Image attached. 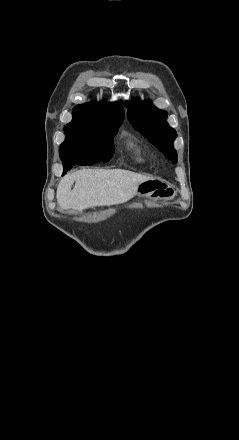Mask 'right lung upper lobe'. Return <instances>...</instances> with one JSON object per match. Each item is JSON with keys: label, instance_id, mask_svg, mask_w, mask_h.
Wrapping results in <instances>:
<instances>
[{"label": "right lung upper lobe", "instance_id": "right-lung-upper-lobe-1", "mask_svg": "<svg viewBox=\"0 0 239 440\" xmlns=\"http://www.w3.org/2000/svg\"><path fill=\"white\" fill-rule=\"evenodd\" d=\"M73 118L99 120L114 124H122L124 110L121 101L115 103L91 102L77 105L73 108Z\"/></svg>", "mask_w": 239, "mask_h": 440}]
</instances>
